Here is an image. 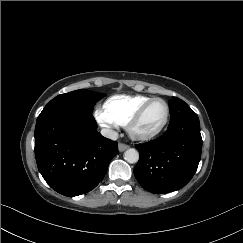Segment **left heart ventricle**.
<instances>
[{
    "label": "left heart ventricle",
    "instance_id": "1",
    "mask_svg": "<svg viewBox=\"0 0 243 243\" xmlns=\"http://www.w3.org/2000/svg\"><path fill=\"white\" fill-rule=\"evenodd\" d=\"M166 116V106L163 102L153 103L144 113L141 121L136 126L139 133H150L158 129Z\"/></svg>",
    "mask_w": 243,
    "mask_h": 243
}]
</instances>
